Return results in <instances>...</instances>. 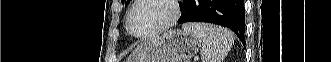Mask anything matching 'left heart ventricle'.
<instances>
[{
  "label": "left heart ventricle",
  "mask_w": 331,
  "mask_h": 62,
  "mask_svg": "<svg viewBox=\"0 0 331 62\" xmlns=\"http://www.w3.org/2000/svg\"><path fill=\"white\" fill-rule=\"evenodd\" d=\"M171 14L172 9L164 0L144 1L132 14V29L137 34L149 32L166 22Z\"/></svg>",
  "instance_id": "1"
}]
</instances>
